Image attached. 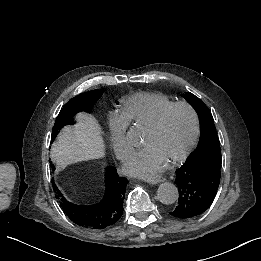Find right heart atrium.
<instances>
[{"instance_id":"1","label":"right heart atrium","mask_w":261,"mask_h":261,"mask_svg":"<svg viewBox=\"0 0 261 261\" xmlns=\"http://www.w3.org/2000/svg\"><path fill=\"white\" fill-rule=\"evenodd\" d=\"M127 122L124 119L112 122L109 132L112 136L111 150L117 155L119 159H123L125 152L128 150L126 142Z\"/></svg>"}]
</instances>
